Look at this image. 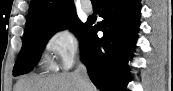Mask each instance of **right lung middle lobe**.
<instances>
[{
	"label": "right lung middle lobe",
	"instance_id": "dd1d6c3e",
	"mask_svg": "<svg viewBox=\"0 0 173 91\" xmlns=\"http://www.w3.org/2000/svg\"><path fill=\"white\" fill-rule=\"evenodd\" d=\"M86 26L87 22L82 23L78 16L74 14L55 23L39 25L25 30L22 49L15 63L13 75H22L32 70L37 64L42 50L53 34L63 29H70L80 39Z\"/></svg>",
	"mask_w": 173,
	"mask_h": 91
}]
</instances>
